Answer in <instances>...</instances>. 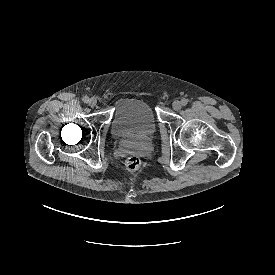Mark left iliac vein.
<instances>
[{
  "label": "left iliac vein",
  "instance_id": "obj_1",
  "mask_svg": "<svg viewBox=\"0 0 275 275\" xmlns=\"http://www.w3.org/2000/svg\"><path fill=\"white\" fill-rule=\"evenodd\" d=\"M172 107H173L174 110L179 111V110L182 108V104H181L180 101L175 100V101L172 103Z\"/></svg>",
  "mask_w": 275,
  "mask_h": 275
}]
</instances>
